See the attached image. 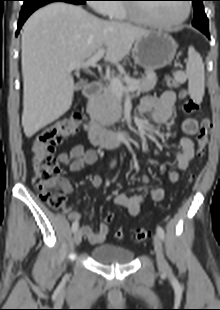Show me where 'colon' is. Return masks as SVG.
Here are the masks:
<instances>
[{
	"label": "colon",
	"mask_w": 220,
	"mask_h": 310,
	"mask_svg": "<svg viewBox=\"0 0 220 310\" xmlns=\"http://www.w3.org/2000/svg\"><path fill=\"white\" fill-rule=\"evenodd\" d=\"M186 80L183 72H176L167 77V85L179 88ZM184 101L183 109L186 113L194 114L199 111V104L187 98L185 90L179 92ZM82 121V114L74 111L68 116L56 121L39 131L33 139L30 147L31 167L33 171V186L42 200L52 209H60L66 201V185L60 179V168L54 156L55 148L68 136L74 134ZM212 130V122L208 118L202 119L199 131L196 135V155L203 157ZM113 213H107L105 221L112 222ZM149 236V232L141 229L135 235L136 242H142ZM117 239L124 237V231L119 229L115 233Z\"/></svg>",
	"instance_id": "5ec220e1"
}]
</instances>
